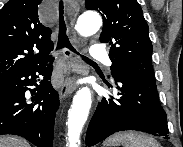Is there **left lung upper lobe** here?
<instances>
[{
    "label": "left lung upper lobe",
    "mask_w": 183,
    "mask_h": 147,
    "mask_svg": "<svg viewBox=\"0 0 183 147\" xmlns=\"http://www.w3.org/2000/svg\"><path fill=\"white\" fill-rule=\"evenodd\" d=\"M86 8L103 17L100 41L111 46V74L130 73L155 81L153 46L148 25L137 0H85Z\"/></svg>",
    "instance_id": "left-lung-upper-lobe-1"
}]
</instances>
